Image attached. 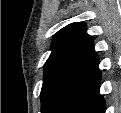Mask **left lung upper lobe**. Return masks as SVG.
<instances>
[{
    "mask_svg": "<svg viewBox=\"0 0 121 113\" xmlns=\"http://www.w3.org/2000/svg\"><path fill=\"white\" fill-rule=\"evenodd\" d=\"M92 41L82 22L55 34L40 94L42 113H71L101 79Z\"/></svg>",
    "mask_w": 121,
    "mask_h": 113,
    "instance_id": "obj_1",
    "label": "left lung upper lobe"
}]
</instances>
